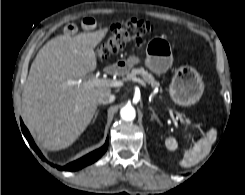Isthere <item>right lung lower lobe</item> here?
Segmentation results:
<instances>
[{
	"label": "right lung lower lobe",
	"instance_id": "98d812e1",
	"mask_svg": "<svg viewBox=\"0 0 245 195\" xmlns=\"http://www.w3.org/2000/svg\"><path fill=\"white\" fill-rule=\"evenodd\" d=\"M21 129L23 132V135L25 136V138L27 139L29 145L33 148V150L38 154V156L44 160L47 161L44 156L42 155V153L39 151V149L37 148V146L35 145L29 131L27 130V128L25 127V125L23 124L22 120H21ZM108 147V140H106V143L103 147L99 148L98 150H95L85 156H83L82 158L71 162L69 164H67L64 167L61 166H56L57 169L59 170H66V171H76L79 170L87 165H90L92 163H94L95 161H97L107 150Z\"/></svg>",
	"mask_w": 245,
	"mask_h": 195
}]
</instances>
